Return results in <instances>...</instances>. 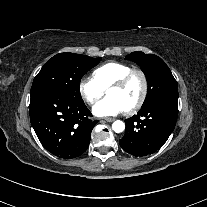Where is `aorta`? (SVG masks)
I'll return each mask as SVG.
<instances>
[{
	"label": "aorta",
	"instance_id": "aorta-1",
	"mask_svg": "<svg viewBox=\"0 0 207 207\" xmlns=\"http://www.w3.org/2000/svg\"><path fill=\"white\" fill-rule=\"evenodd\" d=\"M112 129L116 133H121V132H123L125 130V124H124V122H122L120 120H116L112 124Z\"/></svg>",
	"mask_w": 207,
	"mask_h": 207
}]
</instances>
